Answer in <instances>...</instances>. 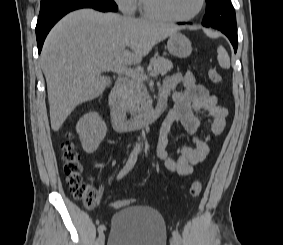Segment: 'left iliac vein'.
<instances>
[{
	"mask_svg": "<svg viewBox=\"0 0 283 245\" xmlns=\"http://www.w3.org/2000/svg\"><path fill=\"white\" fill-rule=\"evenodd\" d=\"M170 245H178V242L175 239H172Z\"/></svg>",
	"mask_w": 283,
	"mask_h": 245,
	"instance_id": "1",
	"label": "left iliac vein"
}]
</instances>
